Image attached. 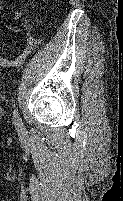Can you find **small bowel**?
<instances>
[{
    "label": "small bowel",
    "mask_w": 123,
    "mask_h": 201,
    "mask_svg": "<svg viewBox=\"0 0 123 201\" xmlns=\"http://www.w3.org/2000/svg\"><path fill=\"white\" fill-rule=\"evenodd\" d=\"M2 10H3V7L0 4V14H1ZM7 29L12 32L15 31V29H13L11 27H7ZM34 44H35L34 38L32 37L31 34L28 33L27 34V45L24 48L23 52L13 60H9V59L3 57L2 55H0V67L14 68V67H18V66L22 65L25 62V60L27 59V57L29 56Z\"/></svg>",
    "instance_id": "1"
}]
</instances>
